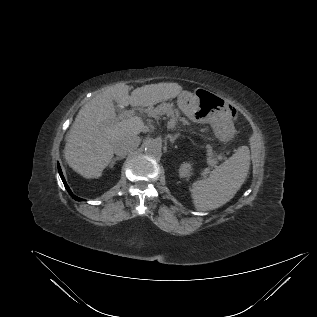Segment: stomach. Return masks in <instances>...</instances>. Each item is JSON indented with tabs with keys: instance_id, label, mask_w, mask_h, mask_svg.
Returning a JSON list of instances; mask_svg holds the SVG:
<instances>
[{
	"instance_id": "1",
	"label": "stomach",
	"mask_w": 317,
	"mask_h": 317,
	"mask_svg": "<svg viewBox=\"0 0 317 317\" xmlns=\"http://www.w3.org/2000/svg\"><path fill=\"white\" fill-rule=\"evenodd\" d=\"M178 107L197 122H209L222 140L230 139L234 127L230 119L228 103L222 96L204 88H197L194 93L182 91L177 98Z\"/></svg>"
}]
</instances>
